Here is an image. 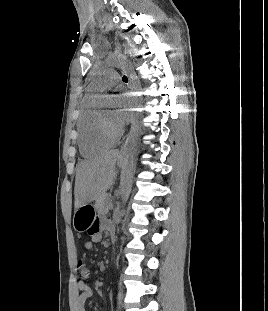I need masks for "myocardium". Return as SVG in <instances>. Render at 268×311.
Here are the masks:
<instances>
[{"mask_svg": "<svg viewBox=\"0 0 268 311\" xmlns=\"http://www.w3.org/2000/svg\"><path fill=\"white\" fill-rule=\"evenodd\" d=\"M100 124L103 134L110 139L116 140L123 134L122 125L111 122L102 112H100Z\"/></svg>", "mask_w": 268, "mask_h": 311, "instance_id": "f54148a6", "label": "myocardium"}]
</instances>
